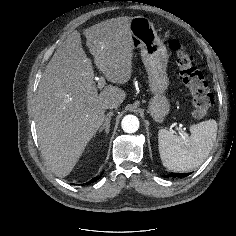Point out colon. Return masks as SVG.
Returning a JSON list of instances; mask_svg holds the SVG:
<instances>
[{"label":"colon","instance_id":"colon-1","mask_svg":"<svg viewBox=\"0 0 236 236\" xmlns=\"http://www.w3.org/2000/svg\"><path fill=\"white\" fill-rule=\"evenodd\" d=\"M169 48L176 54L179 74L185 86L189 89L194 106L193 116L203 119L209 114L213 105V95L209 91L202 72L195 65V57L185 50L177 40L169 42Z\"/></svg>","mask_w":236,"mask_h":236}]
</instances>
